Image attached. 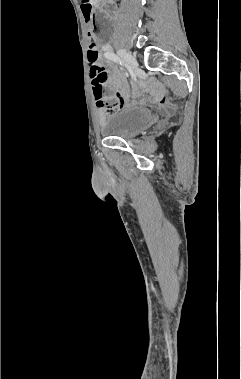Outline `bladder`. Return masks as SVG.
Returning <instances> with one entry per match:
<instances>
[{"label": "bladder", "mask_w": 241, "mask_h": 379, "mask_svg": "<svg viewBox=\"0 0 241 379\" xmlns=\"http://www.w3.org/2000/svg\"><path fill=\"white\" fill-rule=\"evenodd\" d=\"M158 120V115L142 109H126L108 117L101 126V132L107 137L131 139Z\"/></svg>", "instance_id": "bladder-1"}]
</instances>
